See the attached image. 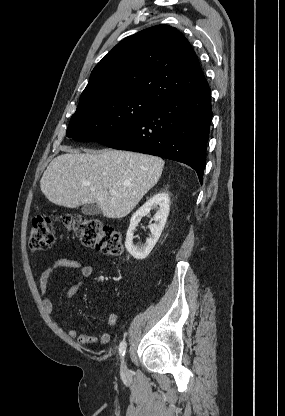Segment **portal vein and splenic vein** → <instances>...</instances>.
<instances>
[{
    "label": "portal vein and splenic vein",
    "instance_id": "portal-vein-and-splenic-vein-1",
    "mask_svg": "<svg viewBox=\"0 0 285 416\" xmlns=\"http://www.w3.org/2000/svg\"><path fill=\"white\" fill-rule=\"evenodd\" d=\"M110 196H117L116 190H109Z\"/></svg>",
    "mask_w": 285,
    "mask_h": 416
}]
</instances>
